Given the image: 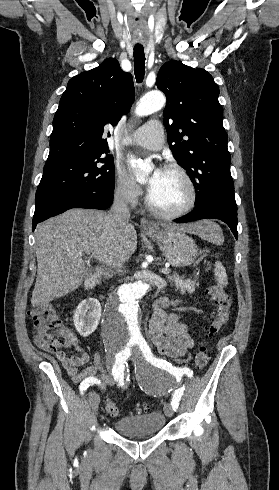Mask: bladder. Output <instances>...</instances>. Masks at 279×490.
<instances>
[{
    "label": "bladder",
    "mask_w": 279,
    "mask_h": 490,
    "mask_svg": "<svg viewBox=\"0 0 279 490\" xmlns=\"http://www.w3.org/2000/svg\"><path fill=\"white\" fill-rule=\"evenodd\" d=\"M165 424L166 415L155 412L121 418L113 422L112 428L122 436H152L161 432Z\"/></svg>",
    "instance_id": "bladder-1"
}]
</instances>
